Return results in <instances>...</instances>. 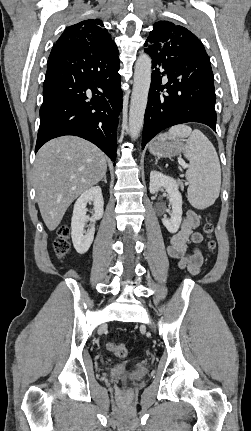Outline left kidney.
Segmentation results:
<instances>
[{
	"instance_id": "left-kidney-1",
	"label": "left kidney",
	"mask_w": 251,
	"mask_h": 431,
	"mask_svg": "<svg viewBox=\"0 0 251 431\" xmlns=\"http://www.w3.org/2000/svg\"><path fill=\"white\" fill-rule=\"evenodd\" d=\"M164 188L169 196L172 206L171 218H162V223L170 233H176L182 221V195L179 192L178 182L170 176L158 171L150 173V193L154 194Z\"/></svg>"
}]
</instances>
